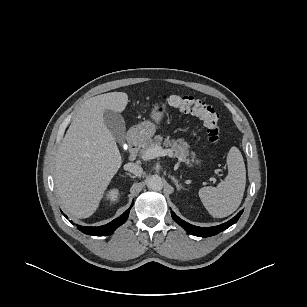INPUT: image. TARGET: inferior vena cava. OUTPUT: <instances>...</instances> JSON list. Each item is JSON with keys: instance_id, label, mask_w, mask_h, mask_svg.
Instances as JSON below:
<instances>
[{"instance_id": "obj_1", "label": "inferior vena cava", "mask_w": 307, "mask_h": 307, "mask_svg": "<svg viewBox=\"0 0 307 307\" xmlns=\"http://www.w3.org/2000/svg\"><path fill=\"white\" fill-rule=\"evenodd\" d=\"M124 169L136 175L137 177H141L143 173V169L141 166L135 163H127L124 165Z\"/></svg>"}]
</instances>
